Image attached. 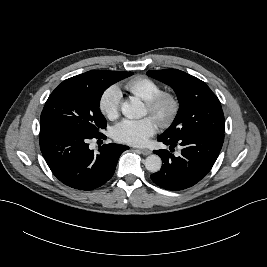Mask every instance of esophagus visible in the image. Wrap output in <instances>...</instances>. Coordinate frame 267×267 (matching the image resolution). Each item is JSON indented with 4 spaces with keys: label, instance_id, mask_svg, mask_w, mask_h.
Wrapping results in <instances>:
<instances>
[{
    "label": "esophagus",
    "instance_id": "1",
    "mask_svg": "<svg viewBox=\"0 0 267 267\" xmlns=\"http://www.w3.org/2000/svg\"><path fill=\"white\" fill-rule=\"evenodd\" d=\"M137 151H139L143 155H149L151 153V151L148 149H138Z\"/></svg>",
    "mask_w": 267,
    "mask_h": 267
}]
</instances>
